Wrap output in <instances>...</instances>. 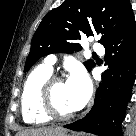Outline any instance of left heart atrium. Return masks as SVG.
<instances>
[{
	"mask_svg": "<svg viewBox=\"0 0 136 136\" xmlns=\"http://www.w3.org/2000/svg\"><path fill=\"white\" fill-rule=\"evenodd\" d=\"M66 85L75 110L82 108L91 94V83L86 73L81 69L74 70Z\"/></svg>",
	"mask_w": 136,
	"mask_h": 136,
	"instance_id": "1",
	"label": "left heart atrium"
}]
</instances>
